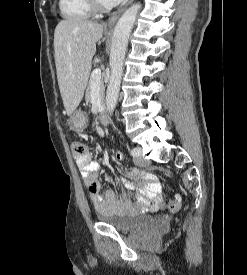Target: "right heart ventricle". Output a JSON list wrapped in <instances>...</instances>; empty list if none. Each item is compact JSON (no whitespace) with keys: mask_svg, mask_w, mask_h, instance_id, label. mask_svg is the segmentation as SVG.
<instances>
[{"mask_svg":"<svg viewBox=\"0 0 247 275\" xmlns=\"http://www.w3.org/2000/svg\"><path fill=\"white\" fill-rule=\"evenodd\" d=\"M59 8L62 16L69 20L86 19L93 12L87 0H59Z\"/></svg>","mask_w":247,"mask_h":275,"instance_id":"1","label":"right heart ventricle"}]
</instances>
